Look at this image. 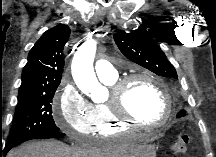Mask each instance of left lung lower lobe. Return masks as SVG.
Masks as SVG:
<instances>
[{
  "label": "left lung lower lobe",
  "instance_id": "obj_1",
  "mask_svg": "<svg viewBox=\"0 0 216 157\" xmlns=\"http://www.w3.org/2000/svg\"><path fill=\"white\" fill-rule=\"evenodd\" d=\"M180 112H181V111H180ZM180 112L178 113L177 117H181V116H183L184 113H185V112H184L183 114H181Z\"/></svg>",
  "mask_w": 216,
  "mask_h": 157
}]
</instances>
